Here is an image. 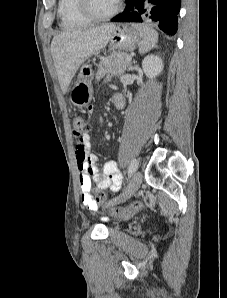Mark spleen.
Instances as JSON below:
<instances>
[{"mask_svg":"<svg viewBox=\"0 0 227 298\" xmlns=\"http://www.w3.org/2000/svg\"><path fill=\"white\" fill-rule=\"evenodd\" d=\"M142 36V41L139 46V52L144 54L155 47L158 41V32L152 27L143 24H133Z\"/></svg>","mask_w":227,"mask_h":298,"instance_id":"1","label":"spleen"}]
</instances>
